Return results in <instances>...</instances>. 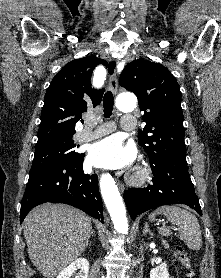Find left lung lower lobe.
Masks as SVG:
<instances>
[{"label": "left lung lower lobe", "instance_id": "obj_1", "mask_svg": "<svg viewBox=\"0 0 221 278\" xmlns=\"http://www.w3.org/2000/svg\"><path fill=\"white\" fill-rule=\"evenodd\" d=\"M152 185L146 188H128L124 200L130 216H136L155 207L169 204H186L200 215L202 210L188 173L185 156H172L151 166Z\"/></svg>", "mask_w": 221, "mask_h": 278}]
</instances>
